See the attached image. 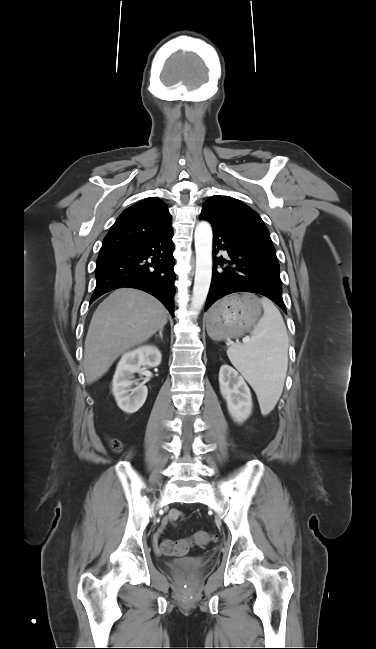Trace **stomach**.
<instances>
[{"instance_id": "obj_1", "label": "stomach", "mask_w": 376, "mask_h": 649, "mask_svg": "<svg viewBox=\"0 0 376 649\" xmlns=\"http://www.w3.org/2000/svg\"><path fill=\"white\" fill-rule=\"evenodd\" d=\"M261 301L251 293L232 294L217 302L207 317V332L214 340L237 337L255 326Z\"/></svg>"}]
</instances>
